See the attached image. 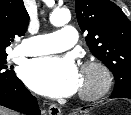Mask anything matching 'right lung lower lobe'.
I'll use <instances>...</instances> for the list:
<instances>
[{
    "label": "right lung lower lobe",
    "mask_w": 131,
    "mask_h": 115,
    "mask_svg": "<svg viewBox=\"0 0 131 115\" xmlns=\"http://www.w3.org/2000/svg\"><path fill=\"white\" fill-rule=\"evenodd\" d=\"M0 105L27 115H41L37 99L17 77L0 82Z\"/></svg>",
    "instance_id": "98d812e1"
}]
</instances>
